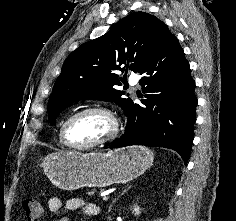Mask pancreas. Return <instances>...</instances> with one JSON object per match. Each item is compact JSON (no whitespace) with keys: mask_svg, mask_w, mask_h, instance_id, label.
<instances>
[{"mask_svg":"<svg viewBox=\"0 0 236 221\" xmlns=\"http://www.w3.org/2000/svg\"><path fill=\"white\" fill-rule=\"evenodd\" d=\"M95 193V190H91L90 192H89V194H94Z\"/></svg>","mask_w":236,"mask_h":221,"instance_id":"cf45deb5","label":"pancreas"}]
</instances>
